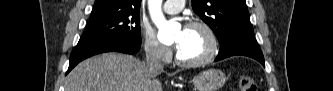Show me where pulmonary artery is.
<instances>
[{"mask_svg": "<svg viewBox=\"0 0 333 91\" xmlns=\"http://www.w3.org/2000/svg\"><path fill=\"white\" fill-rule=\"evenodd\" d=\"M183 7H184V1H173V0L165 1L163 6L164 11L169 14L178 13L182 10Z\"/></svg>", "mask_w": 333, "mask_h": 91, "instance_id": "obj_1", "label": "pulmonary artery"}]
</instances>
